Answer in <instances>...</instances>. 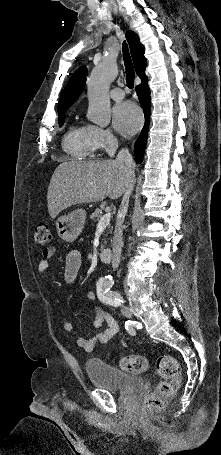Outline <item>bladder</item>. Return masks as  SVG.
<instances>
[{
  "instance_id": "31cf9c89",
  "label": "bladder",
  "mask_w": 221,
  "mask_h": 455,
  "mask_svg": "<svg viewBox=\"0 0 221 455\" xmlns=\"http://www.w3.org/2000/svg\"><path fill=\"white\" fill-rule=\"evenodd\" d=\"M86 372L92 384L113 392H129L143 387L144 379L112 365L87 360Z\"/></svg>"
}]
</instances>
